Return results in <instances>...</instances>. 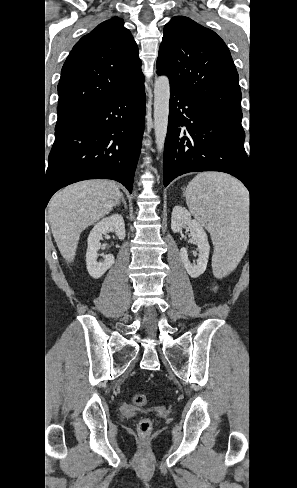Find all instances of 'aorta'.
Instances as JSON below:
<instances>
[{"label":"aorta","mask_w":297,"mask_h":488,"mask_svg":"<svg viewBox=\"0 0 297 488\" xmlns=\"http://www.w3.org/2000/svg\"><path fill=\"white\" fill-rule=\"evenodd\" d=\"M170 83L160 76L154 84V131L157 150L162 153L167 135L169 116Z\"/></svg>","instance_id":"aorta-1"}]
</instances>
